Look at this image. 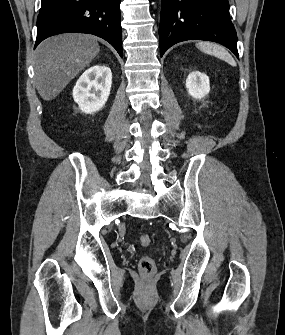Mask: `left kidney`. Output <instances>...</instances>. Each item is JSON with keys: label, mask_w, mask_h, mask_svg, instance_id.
<instances>
[{"label": "left kidney", "mask_w": 285, "mask_h": 335, "mask_svg": "<svg viewBox=\"0 0 285 335\" xmlns=\"http://www.w3.org/2000/svg\"><path fill=\"white\" fill-rule=\"evenodd\" d=\"M188 94L196 100H201L205 98L210 92V80L206 74H201V72H191L187 76L185 84Z\"/></svg>", "instance_id": "1"}]
</instances>
